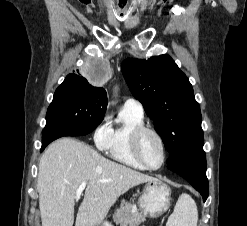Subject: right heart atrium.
Listing matches in <instances>:
<instances>
[{
    "mask_svg": "<svg viewBox=\"0 0 247 226\" xmlns=\"http://www.w3.org/2000/svg\"><path fill=\"white\" fill-rule=\"evenodd\" d=\"M109 137L110 126L106 121H104L94 132V142L98 148L104 149L109 142Z\"/></svg>",
    "mask_w": 247,
    "mask_h": 226,
    "instance_id": "obj_1",
    "label": "right heart atrium"
}]
</instances>
